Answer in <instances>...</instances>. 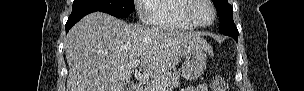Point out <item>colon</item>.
Segmentation results:
<instances>
[{"mask_svg": "<svg viewBox=\"0 0 304 91\" xmlns=\"http://www.w3.org/2000/svg\"><path fill=\"white\" fill-rule=\"evenodd\" d=\"M212 91H228L229 86L225 79L221 76H215L211 85Z\"/></svg>", "mask_w": 304, "mask_h": 91, "instance_id": "5ec220e1", "label": "colon"}]
</instances>
